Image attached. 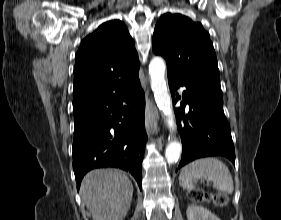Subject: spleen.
Returning a JSON list of instances; mask_svg holds the SVG:
<instances>
[{"mask_svg":"<svg viewBox=\"0 0 281 220\" xmlns=\"http://www.w3.org/2000/svg\"><path fill=\"white\" fill-rule=\"evenodd\" d=\"M205 179L213 183V187L224 193L231 194L234 190L232 175L228 167L217 158L197 159L182 168L179 175L180 185L191 191L195 188V179Z\"/></svg>","mask_w":281,"mask_h":220,"instance_id":"1","label":"spleen"}]
</instances>
